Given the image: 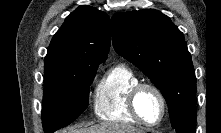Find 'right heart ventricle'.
Masks as SVG:
<instances>
[{
    "instance_id": "obj_1",
    "label": "right heart ventricle",
    "mask_w": 221,
    "mask_h": 133,
    "mask_svg": "<svg viewBox=\"0 0 221 133\" xmlns=\"http://www.w3.org/2000/svg\"><path fill=\"white\" fill-rule=\"evenodd\" d=\"M138 83V75L128 66L119 64L110 68L95 88V115L107 122L137 124L128 108V94Z\"/></svg>"
}]
</instances>
